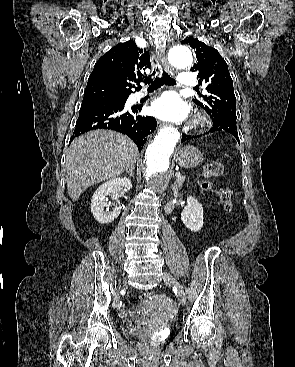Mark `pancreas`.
<instances>
[{
	"label": "pancreas",
	"instance_id": "cf45deb5",
	"mask_svg": "<svg viewBox=\"0 0 295 367\" xmlns=\"http://www.w3.org/2000/svg\"><path fill=\"white\" fill-rule=\"evenodd\" d=\"M185 176L180 175L179 177H176V183L177 185L181 186L185 181Z\"/></svg>",
	"mask_w": 295,
	"mask_h": 367
}]
</instances>
